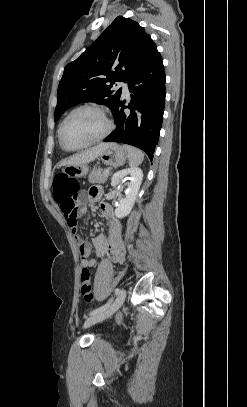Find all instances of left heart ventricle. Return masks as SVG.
Segmentation results:
<instances>
[{
	"label": "left heart ventricle",
	"mask_w": 247,
	"mask_h": 407,
	"mask_svg": "<svg viewBox=\"0 0 247 407\" xmlns=\"http://www.w3.org/2000/svg\"><path fill=\"white\" fill-rule=\"evenodd\" d=\"M103 118L91 110L73 114L64 124L62 140L69 148L79 147L97 138L105 130Z\"/></svg>",
	"instance_id": "obj_1"
}]
</instances>
